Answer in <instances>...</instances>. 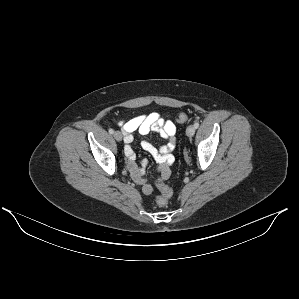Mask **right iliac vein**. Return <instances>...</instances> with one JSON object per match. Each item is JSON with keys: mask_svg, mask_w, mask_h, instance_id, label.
Segmentation results:
<instances>
[{"mask_svg": "<svg viewBox=\"0 0 299 299\" xmlns=\"http://www.w3.org/2000/svg\"><path fill=\"white\" fill-rule=\"evenodd\" d=\"M114 137L117 141H121L122 140V134L120 131H115L114 132Z\"/></svg>", "mask_w": 299, "mask_h": 299, "instance_id": "1", "label": "right iliac vein"}]
</instances>
